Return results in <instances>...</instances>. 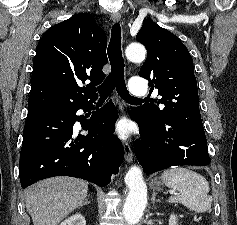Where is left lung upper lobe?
Segmentation results:
<instances>
[{
	"label": "left lung upper lobe",
	"mask_w": 237,
	"mask_h": 225,
	"mask_svg": "<svg viewBox=\"0 0 237 225\" xmlns=\"http://www.w3.org/2000/svg\"><path fill=\"white\" fill-rule=\"evenodd\" d=\"M147 49L139 76L149 80L151 90L162 98L155 104L137 107L143 118L159 124L188 108L199 105L197 81L188 49L174 34L151 20L143 23L136 36Z\"/></svg>",
	"instance_id": "left-lung-upper-lobe-1"
}]
</instances>
